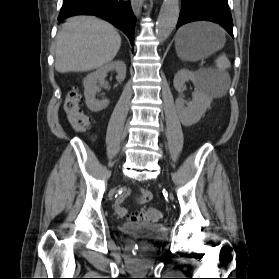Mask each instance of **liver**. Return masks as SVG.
Returning <instances> with one entry per match:
<instances>
[{"instance_id": "obj_1", "label": "liver", "mask_w": 279, "mask_h": 279, "mask_svg": "<svg viewBox=\"0 0 279 279\" xmlns=\"http://www.w3.org/2000/svg\"><path fill=\"white\" fill-rule=\"evenodd\" d=\"M121 37L109 23L92 17L67 20L57 34L55 69L60 73L91 71L114 59Z\"/></svg>"}]
</instances>
